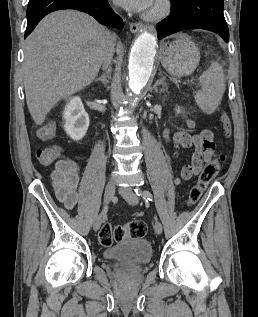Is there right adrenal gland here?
<instances>
[{"label": "right adrenal gland", "instance_id": "1", "mask_svg": "<svg viewBox=\"0 0 258 317\" xmlns=\"http://www.w3.org/2000/svg\"><path fill=\"white\" fill-rule=\"evenodd\" d=\"M110 72L109 70H107V72H103V74H101V76H98V78H96V80H100V82H102V84H107L108 80H107V76H109Z\"/></svg>", "mask_w": 258, "mask_h": 317}]
</instances>
